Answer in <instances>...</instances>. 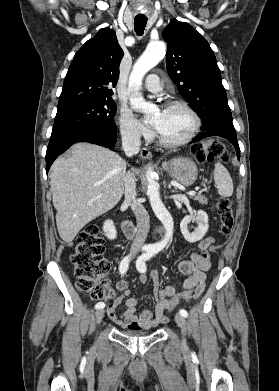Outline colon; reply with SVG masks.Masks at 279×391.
<instances>
[{"mask_svg": "<svg viewBox=\"0 0 279 391\" xmlns=\"http://www.w3.org/2000/svg\"><path fill=\"white\" fill-rule=\"evenodd\" d=\"M192 154L199 163H210L216 160L227 161L228 152L224 144L217 140H205L192 147ZM216 211L220 219V231L223 236L231 234L235 218L230 199L221 197L217 200ZM104 237L98 225H90L82 230L76 240L71 263L74 268L76 286L80 291L90 294L94 300L110 299L113 291L101 281L109 269L108 262L103 257ZM205 260H210V253L206 250L202 254ZM194 290H184L171 297L167 310L172 311L182 301L192 299Z\"/></svg>", "mask_w": 279, "mask_h": 391, "instance_id": "obj_1", "label": "colon"}]
</instances>
